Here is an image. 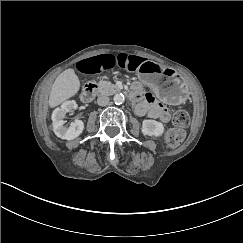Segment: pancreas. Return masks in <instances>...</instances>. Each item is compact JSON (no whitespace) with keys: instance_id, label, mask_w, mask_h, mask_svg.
<instances>
[{"instance_id":"1","label":"pancreas","mask_w":243,"mask_h":243,"mask_svg":"<svg viewBox=\"0 0 243 243\" xmlns=\"http://www.w3.org/2000/svg\"><path fill=\"white\" fill-rule=\"evenodd\" d=\"M98 88L100 93L113 94L116 91H120V88L113 84L110 80L98 81Z\"/></svg>"}]
</instances>
